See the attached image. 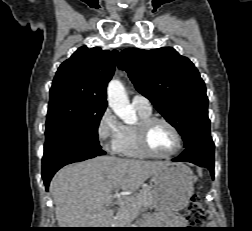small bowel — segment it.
Here are the masks:
<instances>
[{
  "label": "small bowel",
  "instance_id": "obj_1",
  "mask_svg": "<svg viewBox=\"0 0 252 231\" xmlns=\"http://www.w3.org/2000/svg\"><path fill=\"white\" fill-rule=\"evenodd\" d=\"M179 229H183V228H179ZM157 231H164V230H157ZM181 231V230H180ZM183 231V230H182Z\"/></svg>",
  "mask_w": 252,
  "mask_h": 231
}]
</instances>
